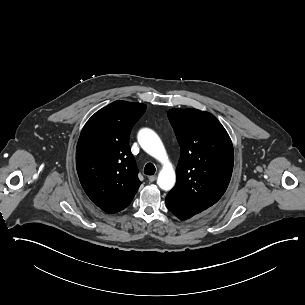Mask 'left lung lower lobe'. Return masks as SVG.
<instances>
[{"label":"left lung lower lobe","mask_w":305,"mask_h":305,"mask_svg":"<svg viewBox=\"0 0 305 305\" xmlns=\"http://www.w3.org/2000/svg\"><path fill=\"white\" fill-rule=\"evenodd\" d=\"M166 205H167L168 209L176 217H178L181 220L189 219V218L193 217L194 215L200 213L195 210L187 209V208L181 206L180 204L176 203L175 201H172L168 198H166Z\"/></svg>","instance_id":"0a47b994"}]
</instances>
